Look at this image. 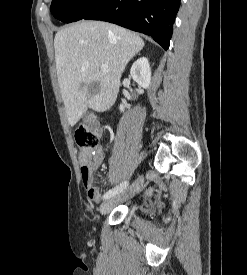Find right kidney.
Listing matches in <instances>:
<instances>
[{
	"instance_id": "1",
	"label": "right kidney",
	"mask_w": 247,
	"mask_h": 275,
	"mask_svg": "<svg viewBox=\"0 0 247 275\" xmlns=\"http://www.w3.org/2000/svg\"><path fill=\"white\" fill-rule=\"evenodd\" d=\"M130 75L140 87L147 89L151 82V69L148 59L142 57L135 61L131 67ZM125 107H129V105L126 103L120 104V111L124 112Z\"/></svg>"
}]
</instances>
